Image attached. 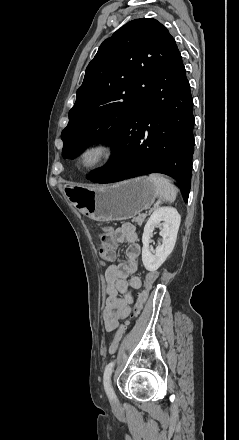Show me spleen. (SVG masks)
Masks as SVG:
<instances>
[{"label": "spleen", "mask_w": 239, "mask_h": 440, "mask_svg": "<svg viewBox=\"0 0 239 440\" xmlns=\"http://www.w3.org/2000/svg\"><path fill=\"white\" fill-rule=\"evenodd\" d=\"M149 180L156 186L157 196L160 200L175 202L179 190L170 184V180H166L162 174H150Z\"/></svg>", "instance_id": "spleen-1"}]
</instances>
